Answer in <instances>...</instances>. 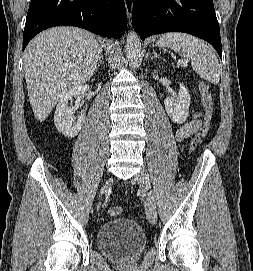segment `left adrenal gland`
Segmentation results:
<instances>
[{"instance_id":"obj_1","label":"left adrenal gland","mask_w":253,"mask_h":271,"mask_svg":"<svg viewBox=\"0 0 253 271\" xmlns=\"http://www.w3.org/2000/svg\"><path fill=\"white\" fill-rule=\"evenodd\" d=\"M154 58H161V57L156 53L155 50H153V56H152V59H154Z\"/></svg>"}]
</instances>
